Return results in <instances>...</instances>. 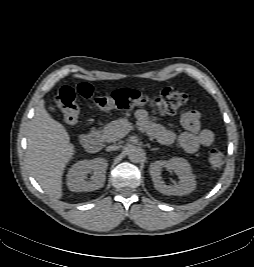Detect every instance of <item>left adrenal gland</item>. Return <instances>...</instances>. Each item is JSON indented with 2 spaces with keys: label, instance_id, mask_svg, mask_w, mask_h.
<instances>
[{
  "label": "left adrenal gland",
  "instance_id": "a2214340",
  "mask_svg": "<svg viewBox=\"0 0 254 267\" xmlns=\"http://www.w3.org/2000/svg\"><path fill=\"white\" fill-rule=\"evenodd\" d=\"M150 150L151 151H156V150H159V148H151Z\"/></svg>",
  "mask_w": 254,
  "mask_h": 267
}]
</instances>
